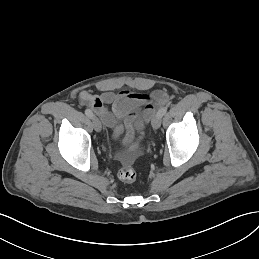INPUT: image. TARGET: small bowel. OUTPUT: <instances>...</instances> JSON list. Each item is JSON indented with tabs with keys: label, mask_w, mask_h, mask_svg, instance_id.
Here are the masks:
<instances>
[{
	"label": "small bowel",
	"mask_w": 259,
	"mask_h": 259,
	"mask_svg": "<svg viewBox=\"0 0 259 259\" xmlns=\"http://www.w3.org/2000/svg\"><path fill=\"white\" fill-rule=\"evenodd\" d=\"M100 95H93L88 91H81L79 99L97 114L102 122L113 130L115 138L126 129L125 143L132 149H138L146 123L150 120L155 106L166 103L168 95L157 91L151 96L133 93L129 90L113 92L104 86ZM111 106V110L108 109ZM142 108L139 113L138 109ZM123 120V124L119 123Z\"/></svg>",
	"instance_id": "obj_1"
}]
</instances>
